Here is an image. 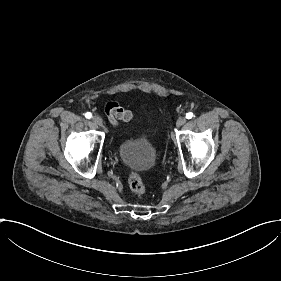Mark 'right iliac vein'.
<instances>
[{"instance_id": "obj_1", "label": "right iliac vein", "mask_w": 281, "mask_h": 281, "mask_svg": "<svg viewBox=\"0 0 281 281\" xmlns=\"http://www.w3.org/2000/svg\"><path fill=\"white\" fill-rule=\"evenodd\" d=\"M92 122H93L95 125L99 126V127L102 126V124H103L102 119L97 118V117H94V118L92 119Z\"/></svg>"}]
</instances>
